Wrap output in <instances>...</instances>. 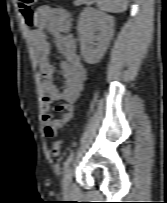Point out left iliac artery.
Segmentation results:
<instances>
[{
  "instance_id": "left-iliac-artery-1",
  "label": "left iliac artery",
  "mask_w": 167,
  "mask_h": 203,
  "mask_svg": "<svg viewBox=\"0 0 167 203\" xmlns=\"http://www.w3.org/2000/svg\"><path fill=\"white\" fill-rule=\"evenodd\" d=\"M74 154H75L74 152H71L70 155L68 156V158L65 160V162H64V171L65 172L69 168L70 163L73 161Z\"/></svg>"
}]
</instances>
